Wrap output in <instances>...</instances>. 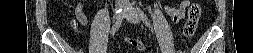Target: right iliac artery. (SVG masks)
I'll return each mask as SVG.
<instances>
[{
  "label": "right iliac artery",
  "mask_w": 253,
  "mask_h": 53,
  "mask_svg": "<svg viewBox=\"0 0 253 53\" xmlns=\"http://www.w3.org/2000/svg\"><path fill=\"white\" fill-rule=\"evenodd\" d=\"M122 23V19H120L119 21H117L115 23V25L112 26L111 31H110V36L113 37L115 35V32L117 31V29L120 27Z\"/></svg>",
  "instance_id": "obj_1"
}]
</instances>
